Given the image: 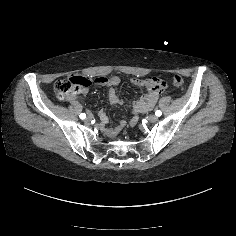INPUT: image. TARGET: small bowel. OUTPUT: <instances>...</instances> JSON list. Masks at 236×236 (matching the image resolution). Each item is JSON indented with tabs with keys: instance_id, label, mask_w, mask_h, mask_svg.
<instances>
[{
	"instance_id": "small-bowel-1",
	"label": "small bowel",
	"mask_w": 236,
	"mask_h": 236,
	"mask_svg": "<svg viewBox=\"0 0 236 236\" xmlns=\"http://www.w3.org/2000/svg\"><path fill=\"white\" fill-rule=\"evenodd\" d=\"M98 82L103 83V84H113V85H114V84H117V83H118V78H117V77L99 78V79H98ZM154 82H155V83H160V85H161V81L156 82V80H154ZM134 83H135L136 85H144V84H149V81L134 80ZM109 100H110V102L113 103V104L119 103V99H118V97H117L116 92H115L114 89H110V91H109ZM155 100H156V96L153 97V98H151V99H149V100L147 101V103L145 104V106L142 107V108H140V109H138V111H140V112H145V111L151 109V107H152V106L154 105V103H155ZM72 102L76 103L77 100L74 99V98H72ZM102 115H103V114H102ZM133 122H134V120L132 121V123H133Z\"/></svg>"
}]
</instances>
